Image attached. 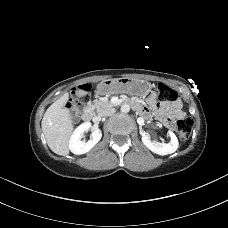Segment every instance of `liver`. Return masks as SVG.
I'll return each instance as SVG.
<instances>
[{
    "label": "liver",
    "instance_id": "obj_1",
    "mask_svg": "<svg viewBox=\"0 0 228 228\" xmlns=\"http://www.w3.org/2000/svg\"><path fill=\"white\" fill-rule=\"evenodd\" d=\"M68 97L65 93L55 101L46 110L41 123L49 148L62 156L69 154V139L74 128L69 110L65 108Z\"/></svg>",
    "mask_w": 228,
    "mask_h": 228
}]
</instances>
